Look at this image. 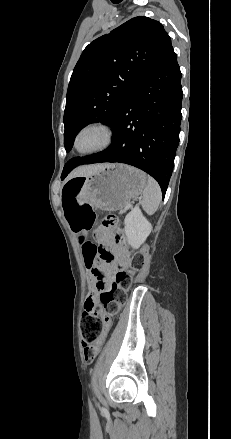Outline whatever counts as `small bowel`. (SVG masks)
<instances>
[{
  "instance_id": "1",
  "label": "small bowel",
  "mask_w": 231,
  "mask_h": 439,
  "mask_svg": "<svg viewBox=\"0 0 231 439\" xmlns=\"http://www.w3.org/2000/svg\"><path fill=\"white\" fill-rule=\"evenodd\" d=\"M76 232V235L78 237L79 243L82 248L83 256L85 259L86 250L87 249H94L95 244L92 243L89 240L88 232L86 230H74ZM100 235H104L107 239L111 238V231L109 229H100L99 231ZM112 252L117 257L119 262H123L125 259V251L121 247H113L110 246ZM101 256L103 254H107L110 256V253L106 250H100ZM102 261L98 263H94L92 268L90 269L89 276H88V283H89V294L85 300L84 308H94L99 303V293L106 287L105 281H100L98 277L96 276V272H104V273H111L113 271V266L106 262L105 258L101 257ZM101 345V341H98L95 346L98 348Z\"/></svg>"
}]
</instances>
